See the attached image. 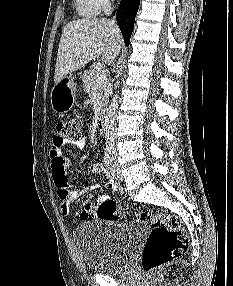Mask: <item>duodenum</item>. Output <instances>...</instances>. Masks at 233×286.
Returning a JSON list of instances; mask_svg holds the SVG:
<instances>
[{"label":"duodenum","instance_id":"410a0bca","mask_svg":"<svg viewBox=\"0 0 233 286\" xmlns=\"http://www.w3.org/2000/svg\"><path fill=\"white\" fill-rule=\"evenodd\" d=\"M97 129L101 132L104 133L106 130V123H105V118L102 114H100L97 118Z\"/></svg>","mask_w":233,"mask_h":286}]
</instances>
